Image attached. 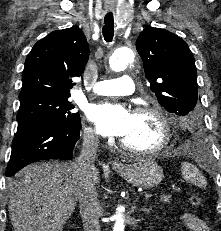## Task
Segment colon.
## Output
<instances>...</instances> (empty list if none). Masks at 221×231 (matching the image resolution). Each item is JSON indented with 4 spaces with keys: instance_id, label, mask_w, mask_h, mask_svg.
I'll use <instances>...</instances> for the list:
<instances>
[{
    "instance_id": "1",
    "label": "colon",
    "mask_w": 221,
    "mask_h": 231,
    "mask_svg": "<svg viewBox=\"0 0 221 231\" xmlns=\"http://www.w3.org/2000/svg\"><path fill=\"white\" fill-rule=\"evenodd\" d=\"M189 202L193 207L199 208L203 205V199L199 195H191L189 197Z\"/></svg>"
}]
</instances>
